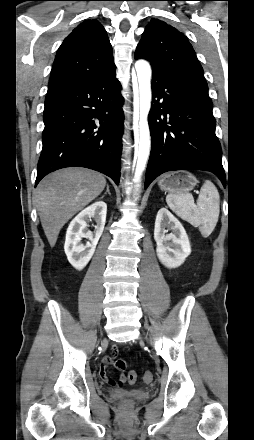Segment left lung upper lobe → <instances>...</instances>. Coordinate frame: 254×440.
I'll return each instance as SVG.
<instances>
[{
    "label": "left lung upper lobe",
    "instance_id": "left-lung-upper-lobe-1",
    "mask_svg": "<svg viewBox=\"0 0 254 440\" xmlns=\"http://www.w3.org/2000/svg\"><path fill=\"white\" fill-rule=\"evenodd\" d=\"M139 58L208 95L194 49L184 34L165 22L153 18L148 23L135 52V59Z\"/></svg>",
    "mask_w": 254,
    "mask_h": 440
}]
</instances>
